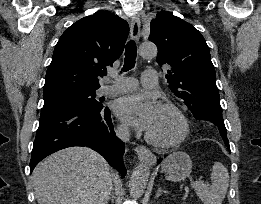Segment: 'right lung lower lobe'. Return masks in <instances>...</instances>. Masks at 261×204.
I'll use <instances>...</instances> for the list:
<instances>
[{
	"label": "right lung lower lobe",
	"mask_w": 261,
	"mask_h": 204,
	"mask_svg": "<svg viewBox=\"0 0 261 204\" xmlns=\"http://www.w3.org/2000/svg\"><path fill=\"white\" fill-rule=\"evenodd\" d=\"M71 146H89L122 177L124 143L115 137L111 115L102 104H64L42 108L30 161L31 172L46 156Z\"/></svg>",
	"instance_id": "obj_1"
}]
</instances>
